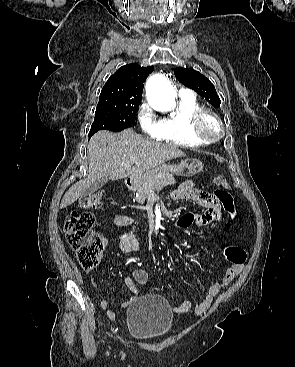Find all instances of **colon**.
<instances>
[{
	"label": "colon",
	"mask_w": 295,
	"mask_h": 367,
	"mask_svg": "<svg viewBox=\"0 0 295 367\" xmlns=\"http://www.w3.org/2000/svg\"><path fill=\"white\" fill-rule=\"evenodd\" d=\"M214 185L218 188L211 190L212 196H217L222 202L225 209L234 213V202L229 192V184L224 176H217L213 179ZM79 204L82 208H97L101 205V194L98 192L89 194L80 199ZM191 223V216L186 215L181 218L180 224L176 226L171 224L169 227L177 231H184L185 226ZM95 217L89 212L70 213L64 224L65 237L69 246L75 253L76 259L85 270L94 269L100 259L103 251V242L101 238L94 232ZM168 228L167 226L165 227ZM165 237L168 235L165 234ZM163 238L164 240L166 238ZM227 259L235 265H242L246 260V252L238 246H230L225 250Z\"/></svg>",
	"instance_id": "colon-1"
}]
</instances>
